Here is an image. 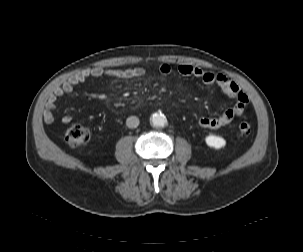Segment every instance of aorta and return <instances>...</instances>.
<instances>
[{"mask_svg":"<svg viewBox=\"0 0 303 252\" xmlns=\"http://www.w3.org/2000/svg\"><path fill=\"white\" fill-rule=\"evenodd\" d=\"M150 122L154 127H164L167 124V119L162 113H154L150 118Z\"/></svg>","mask_w":303,"mask_h":252,"instance_id":"762f6f07","label":"aorta"}]
</instances>
